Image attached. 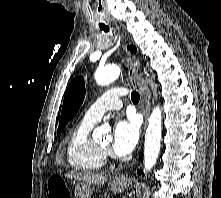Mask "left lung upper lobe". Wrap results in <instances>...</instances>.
<instances>
[{
    "label": "left lung upper lobe",
    "mask_w": 221,
    "mask_h": 198,
    "mask_svg": "<svg viewBox=\"0 0 221 198\" xmlns=\"http://www.w3.org/2000/svg\"><path fill=\"white\" fill-rule=\"evenodd\" d=\"M131 52H136L134 46H128ZM85 97V86L82 77L74 78L65 93L62 112L60 117V123L57 134L59 135L67 123L75 116L79 110Z\"/></svg>",
    "instance_id": "left-lung-upper-lobe-1"
}]
</instances>
